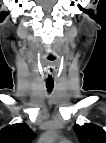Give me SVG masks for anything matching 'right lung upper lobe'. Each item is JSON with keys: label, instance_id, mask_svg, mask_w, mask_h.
<instances>
[{"label": "right lung upper lobe", "instance_id": "obj_1", "mask_svg": "<svg viewBox=\"0 0 106 143\" xmlns=\"http://www.w3.org/2000/svg\"><path fill=\"white\" fill-rule=\"evenodd\" d=\"M34 134L25 123L9 125L0 131V143H31Z\"/></svg>", "mask_w": 106, "mask_h": 143}]
</instances>
